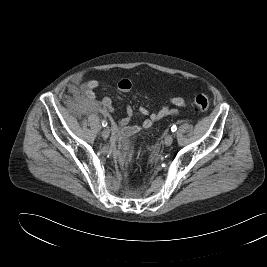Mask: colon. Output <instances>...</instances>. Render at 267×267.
I'll list each match as a JSON object with an SVG mask.
<instances>
[{
  "label": "colon",
  "instance_id": "5ec220e1",
  "mask_svg": "<svg viewBox=\"0 0 267 267\" xmlns=\"http://www.w3.org/2000/svg\"><path fill=\"white\" fill-rule=\"evenodd\" d=\"M194 105L199 111L205 112L209 109L210 102L206 95L198 94L194 98Z\"/></svg>",
  "mask_w": 267,
  "mask_h": 267
}]
</instances>
